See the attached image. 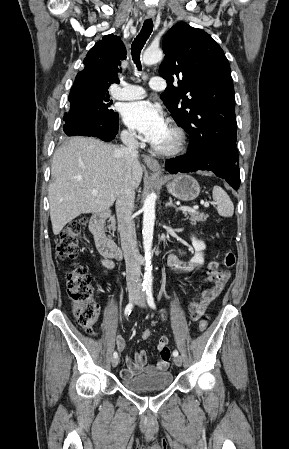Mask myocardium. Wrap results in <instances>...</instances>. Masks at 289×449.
<instances>
[{"instance_id":"myocardium-1","label":"myocardium","mask_w":289,"mask_h":449,"mask_svg":"<svg viewBox=\"0 0 289 449\" xmlns=\"http://www.w3.org/2000/svg\"><path fill=\"white\" fill-rule=\"evenodd\" d=\"M167 128L172 135L171 143L164 147L154 145L153 150L155 153L162 156H175L185 149L186 134L181 127L174 123H170Z\"/></svg>"}]
</instances>
